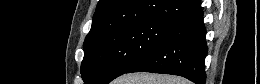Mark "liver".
<instances>
[{
  "mask_svg": "<svg viewBox=\"0 0 260 84\" xmlns=\"http://www.w3.org/2000/svg\"><path fill=\"white\" fill-rule=\"evenodd\" d=\"M118 84H187L181 77L151 73L126 74L119 78Z\"/></svg>",
  "mask_w": 260,
  "mask_h": 84,
  "instance_id": "1",
  "label": "liver"
}]
</instances>
